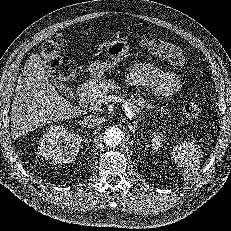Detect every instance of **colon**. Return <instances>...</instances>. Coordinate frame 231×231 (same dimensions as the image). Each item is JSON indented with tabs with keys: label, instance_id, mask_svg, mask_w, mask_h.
<instances>
[{
	"label": "colon",
	"instance_id": "5ec220e1",
	"mask_svg": "<svg viewBox=\"0 0 231 231\" xmlns=\"http://www.w3.org/2000/svg\"><path fill=\"white\" fill-rule=\"evenodd\" d=\"M63 44V36L58 33L54 34L44 44L42 52L52 75L62 80H70L75 76L76 65L70 58L63 54ZM140 45L150 53L167 60L173 65L182 66L186 62L185 51L167 41L157 38L143 39ZM183 111L188 117L195 118L200 115L201 106L195 99L186 100L183 104Z\"/></svg>",
	"mask_w": 231,
	"mask_h": 231
}]
</instances>
